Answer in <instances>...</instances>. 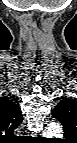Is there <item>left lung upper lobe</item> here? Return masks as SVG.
I'll list each match as a JSON object with an SVG mask.
<instances>
[{
  "label": "left lung upper lobe",
  "mask_w": 77,
  "mask_h": 143,
  "mask_svg": "<svg viewBox=\"0 0 77 143\" xmlns=\"http://www.w3.org/2000/svg\"><path fill=\"white\" fill-rule=\"evenodd\" d=\"M52 117L59 120L64 127V136L75 134L77 126V102L72 99L60 101L53 109Z\"/></svg>",
  "instance_id": "1"
}]
</instances>
